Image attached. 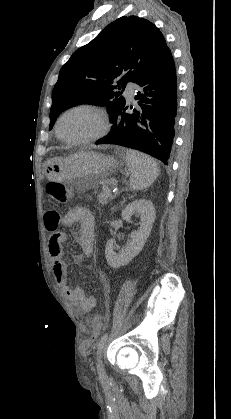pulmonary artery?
I'll list each match as a JSON object with an SVG mask.
<instances>
[{"mask_svg":"<svg viewBox=\"0 0 231 419\" xmlns=\"http://www.w3.org/2000/svg\"><path fill=\"white\" fill-rule=\"evenodd\" d=\"M134 90L135 84L133 82H128L125 88V96L128 100H132L134 98Z\"/></svg>","mask_w":231,"mask_h":419,"instance_id":"e3ab8cb5","label":"pulmonary artery"}]
</instances>
